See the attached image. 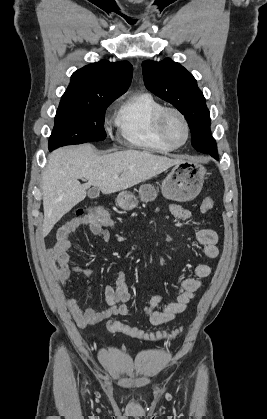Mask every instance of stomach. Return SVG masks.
<instances>
[{
	"label": "stomach",
	"instance_id": "1",
	"mask_svg": "<svg viewBox=\"0 0 267 419\" xmlns=\"http://www.w3.org/2000/svg\"><path fill=\"white\" fill-rule=\"evenodd\" d=\"M209 173L196 160H181L174 165L171 172L163 180L161 191L165 198L185 202L194 199L201 191L204 180ZM157 193L151 184H143L139 188V199L149 202L155 199ZM118 206L130 211L138 204V199L129 191L122 190L117 196Z\"/></svg>",
	"mask_w": 267,
	"mask_h": 419
}]
</instances>
